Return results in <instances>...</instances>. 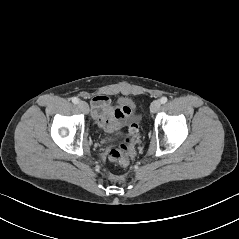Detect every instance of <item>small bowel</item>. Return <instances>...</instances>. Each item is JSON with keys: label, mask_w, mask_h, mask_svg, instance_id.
I'll list each match as a JSON object with an SVG mask.
<instances>
[{"label": "small bowel", "mask_w": 239, "mask_h": 239, "mask_svg": "<svg viewBox=\"0 0 239 239\" xmlns=\"http://www.w3.org/2000/svg\"><path fill=\"white\" fill-rule=\"evenodd\" d=\"M91 104L94 119L99 127L109 134L120 130L132 113L131 107L126 103L113 107L106 95L93 97Z\"/></svg>", "instance_id": "small-bowel-1"}]
</instances>
